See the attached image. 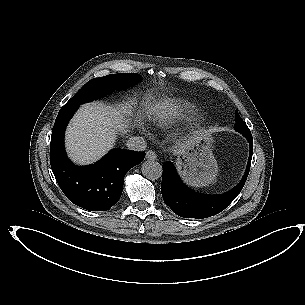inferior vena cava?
Segmentation results:
<instances>
[{
	"mask_svg": "<svg viewBox=\"0 0 305 305\" xmlns=\"http://www.w3.org/2000/svg\"><path fill=\"white\" fill-rule=\"evenodd\" d=\"M126 146L129 150L139 152L146 150L147 143L143 137L133 136L126 141Z\"/></svg>",
	"mask_w": 305,
	"mask_h": 305,
	"instance_id": "602c4592",
	"label": "inferior vena cava"
}]
</instances>
